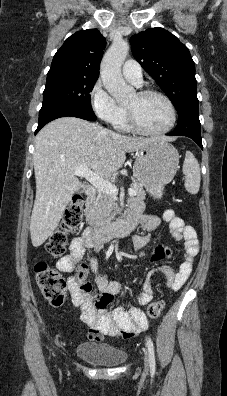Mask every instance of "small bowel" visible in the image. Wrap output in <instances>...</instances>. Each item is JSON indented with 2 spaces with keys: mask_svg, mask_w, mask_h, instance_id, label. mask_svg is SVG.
Instances as JSON below:
<instances>
[{
  "mask_svg": "<svg viewBox=\"0 0 227 396\" xmlns=\"http://www.w3.org/2000/svg\"><path fill=\"white\" fill-rule=\"evenodd\" d=\"M143 203L133 199L129 204V217L135 223H139L145 231H154L161 221L169 224L171 233L177 241H183L185 247L184 261L176 268L163 266L158 270L150 271L138 294V302L142 306L151 303L153 299V283L157 275L164 277L167 286L173 290H179L188 279L193 262L199 252L197 233L192 226L186 225L173 210H165L162 217L144 214ZM89 230L75 237L70 245V253L57 261L60 271L70 274L68 288L71 292V300L74 306L82 311V320L89 327L88 338L94 341H102L105 336L114 338H132L147 330L149 318L146 313L137 307L128 310L117 307L114 310L105 309L114 297L122 290V285L116 281H109L105 274L100 271L99 261L92 256H86V249L93 247L96 251L101 246H93L88 238ZM151 242L149 236L136 235L133 237V248L139 251ZM171 249L162 244L154 248L151 263L156 264L171 256ZM86 259V261H84ZM89 271L95 276V282L100 295L91 297L92 285L87 281Z\"/></svg>",
  "mask_w": 227,
  "mask_h": 396,
  "instance_id": "obj_1",
  "label": "small bowel"
}]
</instances>
